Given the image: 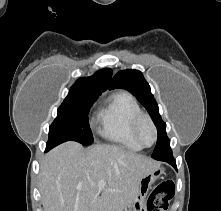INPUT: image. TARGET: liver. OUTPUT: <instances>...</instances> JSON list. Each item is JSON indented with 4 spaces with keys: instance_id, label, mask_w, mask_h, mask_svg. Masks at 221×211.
Listing matches in <instances>:
<instances>
[{
    "instance_id": "obj_1",
    "label": "liver",
    "mask_w": 221,
    "mask_h": 211,
    "mask_svg": "<svg viewBox=\"0 0 221 211\" xmlns=\"http://www.w3.org/2000/svg\"><path fill=\"white\" fill-rule=\"evenodd\" d=\"M153 160L115 145L84 149L63 143L41 162L39 189L44 211H123L133 201ZM104 179V189L98 184Z\"/></svg>"
}]
</instances>
